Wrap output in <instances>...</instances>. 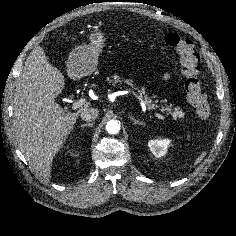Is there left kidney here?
Segmentation results:
<instances>
[{"label":"left kidney","mask_w":236,"mask_h":236,"mask_svg":"<svg viewBox=\"0 0 236 236\" xmlns=\"http://www.w3.org/2000/svg\"><path fill=\"white\" fill-rule=\"evenodd\" d=\"M170 142V139H152L148 142V146L152 154L155 157L160 158L166 155Z\"/></svg>","instance_id":"obj_1"}]
</instances>
